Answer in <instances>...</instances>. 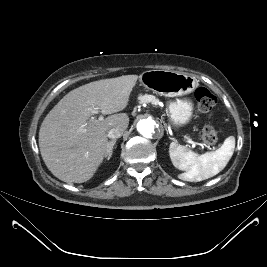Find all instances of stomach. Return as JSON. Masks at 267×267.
<instances>
[{
    "instance_id": "obj_1",
    "label": "stomach",
    "mask_w": 267,
    "mask_h": 267,
    "mask_svg": "<svg viewBox=\"0 0 267 267\" xmlns=\"http://www.w3.org/2000/svg\"><path fill=\"white\" fill-rule=\"evenodd\" d=\"M143 86L165 97L175 98L167 103L168 118L176 128L188 124L193 115V103L188 99L178 97L193 92L197 79L189 74L176 71L150 70L140 76Z\"/></svg>"
}]
</instances>
